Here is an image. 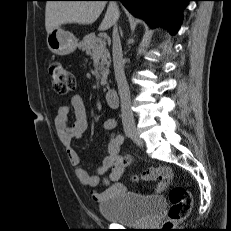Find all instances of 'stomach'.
<instances>
[{"mask_svg":"<svg viewBox=\"0 0 231 231\" xmlns=\"http://www.w3.org/2000/svg\"><path fill=\"white\" fill-rule=\"evenodd\" d=\"M78 45V40L73 33L65 31L61 27L53 29L47 35V46L49 50L57 55H68L73 53Z\"/></svg>","mask_w":231,"mask_h":231,"instance_id":"0dacf381","label":"stomach"}]
</instances>
